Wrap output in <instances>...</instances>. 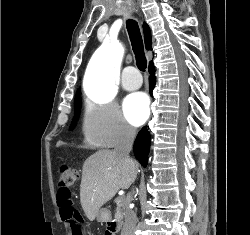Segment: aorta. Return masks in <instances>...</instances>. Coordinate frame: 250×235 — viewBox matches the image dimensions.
<instances>
[{
  "instance_id": "762f6f07",
  "label": "aorta",
  "mask_w": 250,
  "mask_h": 235,
  "mask_svg": "<svg viewBox=\"0 0 250 235\" xmlns=\"http://www.w3.org/2000/svg\"><path fill=\"white\" fill-rule=\"evenodd\" d=\"M123 54V48L113 49L103 43L94 53L88 68L86 93L98 102H109L116 95L118 63L116 58Z\"/></svg>"
}]
</instances>
